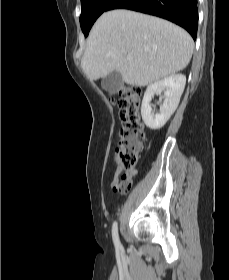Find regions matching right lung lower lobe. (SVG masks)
Here are the masks:
<instances>
[{
	"label": "right lung lower lobe",
	"instance_id": "obj_1",
	"mask_svg": "<svg viewBox=\"0 0 229 280\" xmlns=\"http://www.w3.org/2000/svg\"><path fill=\"white\" fill-rule=\"evenodd\" d=\"M129 9L167 19L197 36V0H113L107 10Z\"/></svg>",
	"mask_w": 229,
	"mask_h": 280
}]
</instances>
